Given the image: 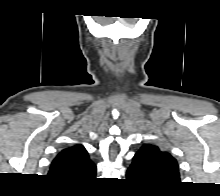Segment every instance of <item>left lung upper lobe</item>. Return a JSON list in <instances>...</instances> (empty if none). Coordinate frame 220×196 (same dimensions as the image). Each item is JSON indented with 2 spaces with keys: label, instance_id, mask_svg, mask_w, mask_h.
Returning <instances> with one entry per match:
<instances>
[{
  "label": "left lung upper lobe",
  "instance_id": "5c2ea615",
  "mask_svg": "<svg viewBox=\"0 0 220 196\" xmlns=\"http://www.w3.org/2000/svg\"><path fill=\"white\" fill-rule=\"evenodd\" d=\"M137 162L154 186L160 189L169 188L179 183V168L170 153L158 146L144 144L135 154Z\"/></svg>",
  "mask_w": 220,
  "mask_h": 196
}]
</instances>
